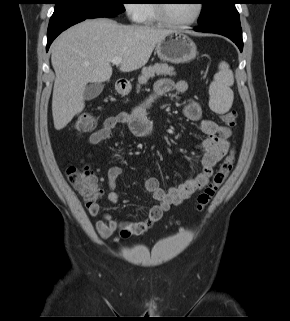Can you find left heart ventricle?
Instances as JSON below:
<instances>
[{
    "label": "left heart ventricle",
    "instance_id": "1",
    "mask_svg": "<svg viewBox=\"0 0 290 321\" xmlns=\"http://www.w3.org/2000/svg\"><path fill=\"white\" fill-rule=\"evenodd\" d=\"M195 11V0H169L166 3V14L173 21H187L194 16Z\"/></svg>",
    "mask_w": 290,
    "mask_h": 321
}]
</instances>
